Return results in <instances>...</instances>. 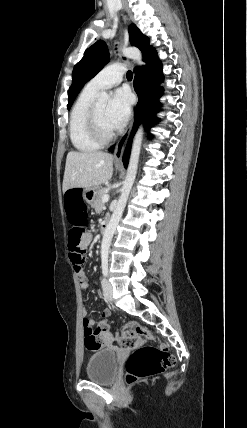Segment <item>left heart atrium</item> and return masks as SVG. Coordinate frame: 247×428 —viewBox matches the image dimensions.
I'll list each match as a JSON object with an SVG mask.
<instances>
[{
	"mask_svg": "<svg viewBox=\"0 0 247 428\" xmlns=\"http://www.w3.org/2000/svg\"><path fill=\"white\" fill-rule=\"evenodd\" d=\"M131 96L126 89H118L114 92L107 107V120L110 126L116 130L122 128L130 116Z\"/></svg>",
	"mask_w": 247,
	"mask_h": 428,
	"instance_id": "1",
	"label": "left heart atrium"
}]
</instances>
